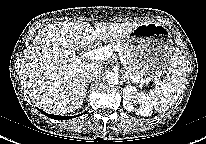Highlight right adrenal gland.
Returning <instances> with one entry per match:
<instances>
[{"instance_id": "1", "label": "right adrenal gland", "mask_w": 206, "mask_h": 144, "mask_svg": "<svg viewBox=\"0 0 206 144\" xmlns=\"http://www.w3.org/2000/svg\"><path fill=\"white\" fill-rule=\"evenodd\" d=\"M90 82H91V80L88 81V83H90ZM87 89H88V84H87V86L85 87V93H86Z\"/></svg>"}]
</instances>
